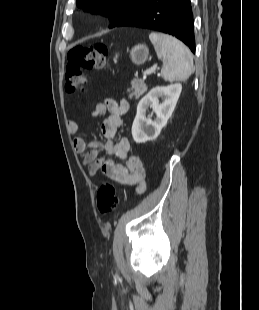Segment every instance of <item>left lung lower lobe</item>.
<instances>
[{"mask_svg": "<svg viewBox=\"0 0 259 310\" xmlns=\"http://www.w3.org/2000/svg\"><path fill=\"white\" fill-rule=\"evenodd\" d=\"M119 26H134L168 33L195 52L190 0H150L128 13L113 27Z\"/></svg>", "mask_w": 259, "mask_h": 310, "instance_id": "left-lung-lower-lobe-1", "label": "left lung lower lobe"}]
</instances>
